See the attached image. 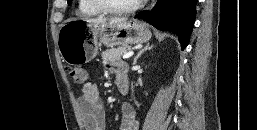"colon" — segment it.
I'll return each mask as SVG.
<instances>
[{
  "mask_svg": "<svg viewBox=\"0 0 257 130\" xmlns=\"http://www.w3.org/2000/svg\"><path fill=\"white\" fill-rule=\"evenodd\" d=\"M67 70L69 75L76 83L82 84L87 80V71L84 68L70 66L67 68Z\"/></svg>",
  "mask_w": 257,
  "mask_h": 130,
  "instance_id": "colon-1",
  "label": "colon"
}]
</instances>
